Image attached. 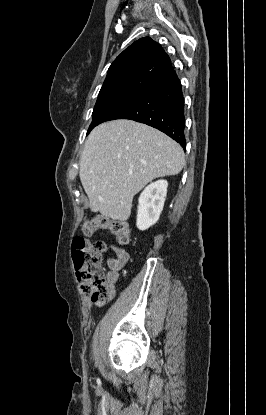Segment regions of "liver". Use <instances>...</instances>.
I'll return each instance as SVG.
<instances>
[{
	"instance_id": "6515ba94",
	"label": "liver",
	"mask_w": 266,
	"mask_h": 415,
	"mask_svg": "<svg viewBox=\"0 0 266 415\" xmlns=\"http://www.w3.org/2000/svg\"><path fill=\"white\" fill-rule=\"evenodd\" d=\"M184 164L176 141L148 125L121 119L90 133L79 176L92 212L126 221L135 194L155 178L177 175Z\"/></svg>"
}]
</instances>
